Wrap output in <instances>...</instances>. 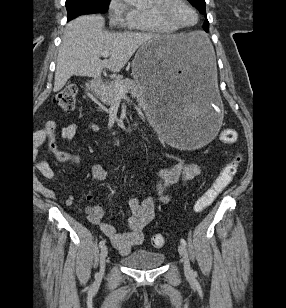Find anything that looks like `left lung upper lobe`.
Instances as JSON below:
<instances>
[{"label":"left lung upper lobe","instance_id":"1","mask_svg":"<svg viewBox=\"0 0 286 308\" xmlns=\"http://www.w3.org/2000/svg\"><path fill=\"white\" fill-rule=\"evenodd\" d=\"M193 6H195L202 14H206L205 9V0H188ZM203 28L206 32H208L209 29V22L206 19L205 23L203 24Z\"/></svg>","mask_w":286,"mask_h":308}]
</instances>
